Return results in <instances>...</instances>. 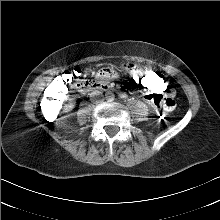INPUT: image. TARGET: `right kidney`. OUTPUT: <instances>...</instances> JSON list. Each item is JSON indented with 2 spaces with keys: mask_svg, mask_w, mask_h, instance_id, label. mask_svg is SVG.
I'll return each mask as SVG.
<instances>
[{
  "mask_svg": "<svg viewBox=\"0 0 220 220\" xmlns=\"http://www.w3.org/2000/svg\"><path fill=\"white\" fill-rule=\"evenodd\" d=\"M73 107H74V105H72V104H70V105H66L65 108H64V110L67 112V111L72 110Z\"/></svg>",
  "mask_w": 220,
  "mask_h": 220,
  "instance_id": "1",
  "label": "right kidney"
}]
</instances>
